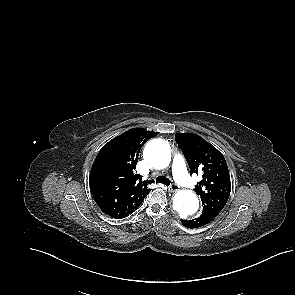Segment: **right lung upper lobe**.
Returning <instances> with one entry per match:
<instances>
[{"label": "right lung upper lobe", "mask_w": 295, "mask_h": 295, "mask_svg": "<svg viewBox=\"0 0 295 295\" xmlns=\"http://www.w3.org/2000/svg\"><path fill=\"white\" fill-rule=\"evenodd\" d=\"M158 133L133 128L106 143L90 172L93 197L101 210L123 218L140 206L150 192L146 181L134 174L142 146Z\"/></svg>", "instance_id": "right-lung-upper-lobe-1"}]
</instances>
